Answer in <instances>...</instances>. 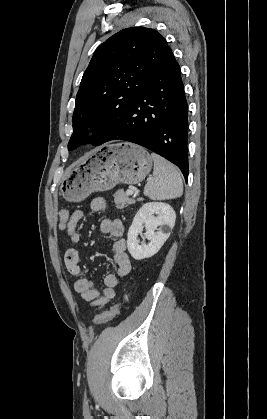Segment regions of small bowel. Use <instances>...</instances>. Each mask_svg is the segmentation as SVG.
Returning a JSON list of instances; mask_svg holds the SVG:
<instances>
[{
  "instance_id": "c3829d8e",
  "label": "small bowel",
  "mask_w": 267,
  "mask_h": 419,
  "mask_svg": "<svg viewBox=\"0 0 267 419\" xmlns=\"http://www.w3.org/2000/svg\"><path fill=\"white\" fill-rule=\"evenodd\" d=\"M90 208L92 212H103L107 208V203L104 198L97 197L91 201ZM83 215V211L75 210L71 214L67 225V234L74 243H77L80 239L77 225L83 218ZM124 229V223L120 219L105 218L100 223L101 232L114 239L112 250L116 264V270L104 277L105 288L103 290L96 288L91 279L83 276L78 249L70 247L65 252V266L68 272L76 277L74 282L75 291L80 294L84 301L89 302L93 306L102 308L113 299L116 296V287L120 284L121 279L131 270V263L126 252V241L123 238Z\"/></svg>"
}]
</instances>
